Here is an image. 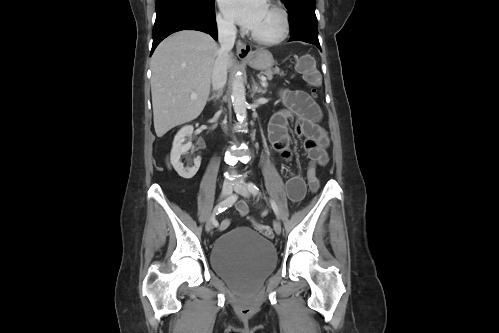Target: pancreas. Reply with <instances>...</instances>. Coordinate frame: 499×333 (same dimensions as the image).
<instances>
[{
    "mask_svg": "<svg viewBox=\"0 0 499 333\" xmlns=\"http://www.w3.org/2000/svg\"><path fill=\"white\" fill-rule=\"evenodd\" d=\"M263 74L267 77V79H272L274 74L284 75L283 72H280L279 68H276V69H273V70H271V69L270 70H266Z\"/></svg>",
    "mask_w": 499,
    "mask_h": 333,
    "instance_id": "1",
    "label": "pancreas"
}]
</instances>
